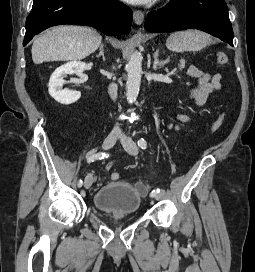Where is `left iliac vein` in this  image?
I'll list each match as a JSON object with an SVG mask.
<instances>
[{
  "label": "left iliac vein",
  "instance_id": "1",
  "mask_svg": "<svg viewBox=\"0 0 255 272\" xmlns=\"http://www.w3.org/2000/svg\"><path fill=\"white\" fill-rule=\"evenodd\" d=\"M121 143L124 147V149L130 154V155H137L138 154V147L136 143L129 137H121ZM157 200H160L164 197V191H160L154 196Z\"/></svg>",
  "mask_w": 255,
  "mask_h": 272
}]
</instances>
